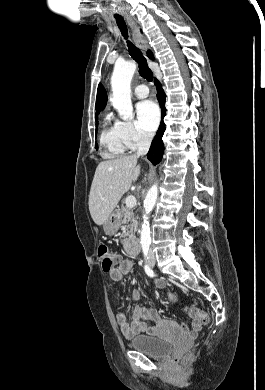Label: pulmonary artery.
Wrapping results in <instances>:
<instances>
[{"instance_id":"e3ab8cb5","label":"pulmonary artery","mask_w":265,"mask_h":390,"mask_svg":"<svg viewBox=\"0 0 265 390\" xmlns=\"http://www.w3.org/2000/svg\"><path fill=\"white\" fill-rule=\"evenodd\" d=\"M134 94L137 98H145L149 94V89L146 85H138L134 88Z\"/></svg>"}]
</instances>
